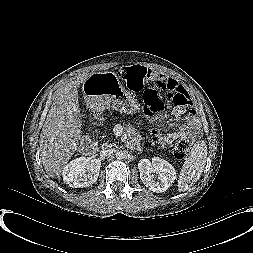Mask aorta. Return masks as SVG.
<instances>
[{"mask_svg":"<svg viewBox=\"0 0 253 253\" xmlns=\"http://www.w3.org/2000/svg\"><path fill=\"white\" fill-rule=\"evenodd\" d=\"M124 156H125V155H124L123 152H118V153L116 154L117 159H123Z\"/></svg>","mask_w":253,"mask_h":253,"instance_id":"obj_1","label":"aorta"}]
</instances>
